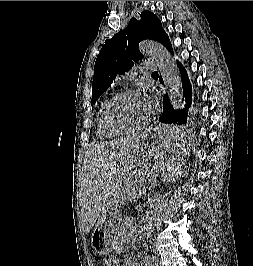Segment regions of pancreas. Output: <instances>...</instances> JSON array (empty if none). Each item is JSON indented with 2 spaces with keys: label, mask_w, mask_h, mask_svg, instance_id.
<instances>
[{
  "label": "pancreas",
  "mask_w": 253,
  "mask_h": 266,
  "mask_svg": "<svg viewBox=\"0 0 253 266\" xmlns=\"http://www.w3.org/2000/svg\"><path fill=\"white\" fill-rule=\"evenodd\" d=\"M146 180L151 182V179L147 177H140L139 173H130L124 176L121 186V201H137L144 194ZM120 240L122 241V238Z\"/></svg>",
  "instance_id": "pancreas-1"
}]
</instances>
